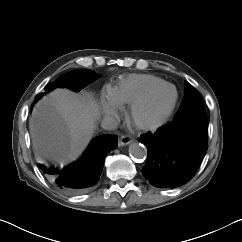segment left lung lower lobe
I'll list each match as a JSON object with an SVG mask.
<instances>
[{"mask_svg": "<svg viewBox=\"0 0 242 242\" xmlns=\"http://www.w3.org/2000/svg\"><path fill=\"white\" fill-rule=\"evenodd\" d=\"M141 140L148 150L144 177L155 187L175 188L193 178L207 152V122L175 131L162 126L154 134L141 135Z\"/></svg>", "mask_w": 242, "mask_h": 242, "instance_id": "left-lung-lower-lobe-1", "label": "left lung lower lobe"}]
</instances>
